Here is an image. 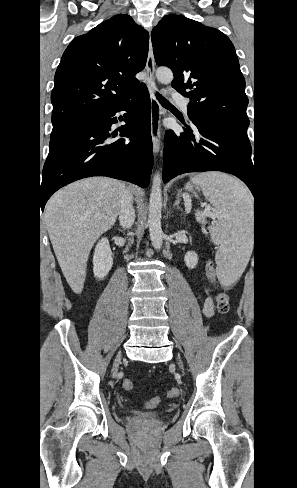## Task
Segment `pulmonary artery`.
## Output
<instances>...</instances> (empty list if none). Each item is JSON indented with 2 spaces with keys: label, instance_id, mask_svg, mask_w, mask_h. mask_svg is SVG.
I'll return each mask as SVG.
<instances>
[{
  "label": "pulmonary artery",
  "instance_id": "e3ab8cb5",
  "mask_svg": "<svg viewBox=\"0 0 297 488\" xmlns=\"http://www.w3.org/2000/svg\"><path fill=\"white\" fill-rule=\"evenodd\" d=\"M173 100H174V101H175L177 104H179V105L181 106V108H182V109H183L185 112H187L188 103H189V101H188V99H187V98H185L184 96H182V95H180V94H178V93H175V94H173Z\"/></svg>",
  "mask_w": 297,
  "mask_h": 488
}]
</instances>
